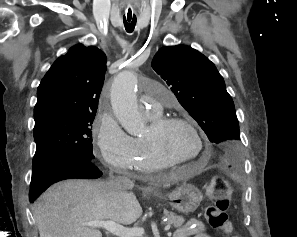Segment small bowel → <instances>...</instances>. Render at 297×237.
<instances>
[{
	"label": "small bowel",
	"instance_id": "small-bowel-1",
	"mask_svg": "<svg viewBox=\"0 0 297 237\" xmlns=\"http://www.w3.org/2000/svg\"><path fill=\"white\" fill-rule=\"evenodd\" d=\"M174 237H211L203 222L197 219L189 220L184 226L176 230Z\"/></svg>",
	"mask_w": 297,
	"mask_h": 237
}]
</instances>
